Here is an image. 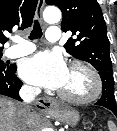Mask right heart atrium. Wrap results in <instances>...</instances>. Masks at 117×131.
<instances>
[{"mask_svg":"<svg viewBox=\"0 0 117 131\" xmlns=\"http://www.w3.org/2000/svg\"><path fill=\"white\" fill-rule=\"evenodd\" d=\"M28 89L33 90L32 88L28 87Z\"/></svg>","mask_w":117,"mask_h":131,"instance_id":"obj_1","label":"right heart atrium"}]
</instances>
